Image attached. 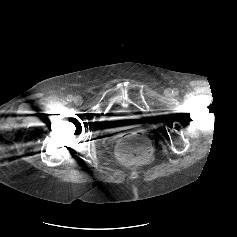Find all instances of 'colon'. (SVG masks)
Wrapping results in <instances>:
<instances>
[{
    "label": "colon",
    "mask_w": 237,
    "mask_h": 237,
    "mask_svg": "<svg viewBox=\"0 0 237 237\" xmlns=\"http://www.w3.org/2000/svg\"><path fill=\"white\" fill-rule=\"evenodd\" d=\"M118 158L129 164L143 163L150 159L152 147L145 136L129 133L123 136L116 146Z\"/></svg>",
    "instance_id": "colon-1"
}]
</instances>
